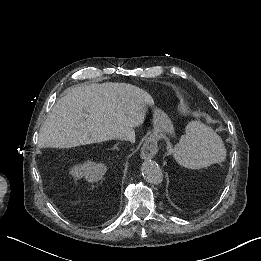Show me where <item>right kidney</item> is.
I'll return each instance as SVG.
<instances>
[{"label":"right kidney","instance_id":"ca27d5eb","mask_svg":"<svg viewBox=\"0 0 261 261\" xmlns=\"http://www.w3.org/2000/svg\"><path fill=\"white\" fill-rule=\"evenodd\" d=\"M106 166L104 164H95L86 162L83 165L76 166L71 173L75 178L85 177L89 182H96L105 174Z\"/></svg>","mask_w":261,"mask_h":261}]
</instances>
